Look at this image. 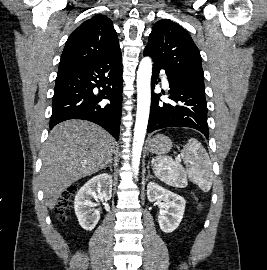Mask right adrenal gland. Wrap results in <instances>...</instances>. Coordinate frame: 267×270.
Listing matches in <instances>:
<instances>
[{
	"label": "right adrenal gland",
	"mask_w": 267,
	"mask_h": 270,
	"mask_svg": "<svg viewBox=\"0 0 267 270\" xmlns=\"http://www.w3.org/2000/svg\"><path fill=\"white\" fill-rule=\"evenodd\" d=\"M112 163H113V161L111 160V162L109 163V165L106 166L105 168H108L109 167L110 171H112Z\"/></svg>",
	"instance_id": "2a0ac1e0"
}]
</instances>
